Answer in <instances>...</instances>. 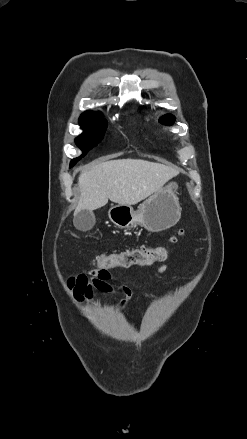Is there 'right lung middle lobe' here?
<instances>
[{
  "label": "right lung middle lobe",
  "mask_w": 247,
  "mask_h": 439,
  "mask_svg": "<svg viewBox=\"0 0 247 439\" xmlns=\"http://www.w3.org/2000/svg\"><path fill=\"white\" fill-rule=\"evenodd\" d=\"M80 124L84 132L75 139L78 147L83 151V154L71 161L70 166H73L86 153L95 147L103 138L106 130L107 122L103 117H80Z\"/></svg>",
  "instance_id": "right-lung-middle-lobe-1"
}]
</instances>
